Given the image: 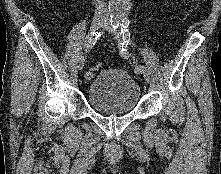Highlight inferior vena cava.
Listing matches in <instances>:
<instances>
[{
  "mask_svg": "<svg viewBox=\"0 0 221 174\" xmlns=\"http://www.w3.org/2000/svg\"><path fill=\"white\" fill-rule=\"evenodd\" d=\"M95 15L96 16H101V17H107L108 16L107 7H106L103 0H96Z\"/></svg>",
  "mask_w": 221,
  "mask_h": 174,
  "instance_id": "1",
  "label": "inferior vena cava"
}]
</instances>
